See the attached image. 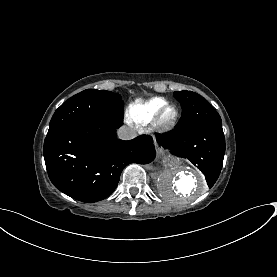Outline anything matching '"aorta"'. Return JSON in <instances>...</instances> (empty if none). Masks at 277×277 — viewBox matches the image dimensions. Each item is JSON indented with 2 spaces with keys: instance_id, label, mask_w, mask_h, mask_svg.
<instances>
[{
  "instance_id": "obj_1",
  "label": "aorta",
  "mask_w": 277,
  "mask_h": 277,
  "mask_svg": "<svg viewBox=\"0 0 277 277\" xmlns=\"http://www.w3.org/2000/svg\"><path fill=\"white\" fill-rule=\"evenodd\" d=\"M162 163L163 170L157 185L167 201L182 205L195 200L207 191L202 173L184 160L164 154Z\"/></svg>"
}]
</instances>
